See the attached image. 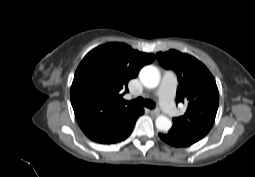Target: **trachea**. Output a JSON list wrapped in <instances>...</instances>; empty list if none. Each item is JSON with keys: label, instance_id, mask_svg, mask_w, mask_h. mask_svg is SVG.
Returning <instances> with one entry per match:
<instances>
[{"label": "trachea", "instance_id": "1", "mask_svg": "<svg viewBox=\"0 0 255 177\" xmlns=\"http://www.w3.org/2000/svg\"><path fill=\"white\" fill-rule=\"evenodd\" d=\"M128 105L131 106H146L149 109H153L155 108V103L151 100H144L143 98L139 97L135 100H132L130 102L126 101L125 102Z\"/></svg>", "mask_w": 255, "mask_h": 177}]
</instances>
